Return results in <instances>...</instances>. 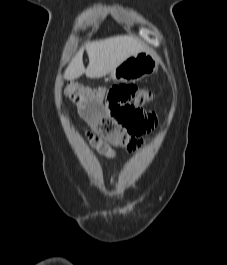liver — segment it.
I'll return each instance as SVG.
<instances>
[{
    "label": "liver",
    "mask_w": 227,
    "mask_h": 265,
    "mask_svg": "<svg viewBox=\"0 0 227 265\" xmlns=\"http://www.w3.org/2000/svg\"><path fill=\"white\" fill-rule=\"evenodd\" d=\"M89 57L88 67L83 64V50ZM73 58L64 77L75 80L84 73L87 78H100L113 71L125 59L141 51H146V46L136 37L118 35L102 40L88 42Z\"/></svg>",
    "instance_id": "6515ba94"
}]
</instances>
